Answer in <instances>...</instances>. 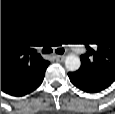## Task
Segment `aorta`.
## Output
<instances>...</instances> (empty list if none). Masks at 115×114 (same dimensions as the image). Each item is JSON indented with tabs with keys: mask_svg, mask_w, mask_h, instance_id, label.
Wrapping results in <instances>:
<instances>
[{
	"mask_svg": "<svg viewBox=\"0 0 115 114\" xmlns=\"http://www.w3.org/2000/svg\"><path fill=\"white\" fill-rule=\"evenodd\" d=\"M81 61L77 55L70 54L65 59V66L69 71H76L80 68Z\"/></svg>",
	"mask_w": 115,
	"mask_h": 114,
	"instance_id": "762f6f07",
	"label": "aorta"
}]
</instances>
